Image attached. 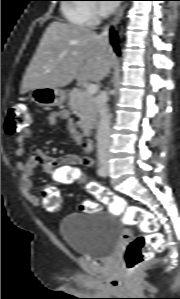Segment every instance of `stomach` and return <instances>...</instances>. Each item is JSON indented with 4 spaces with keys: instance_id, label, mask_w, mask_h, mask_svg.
<instances>
[{
    "instance_id": "1",
    "label": "stomach",
    "mask_w": 180,
    "mask_h": 299,
    "mask_svg": "<svg viewBox=\"0 0 180 299\" xmlns=\"http://www.w3.org/2000/svg\"><path fill=\"white\" fill-rule=\"evenodd\" d=\"M32 100L43 107L58 106L65 102L66 93L58 88H36L32 91Z\"/></svg>"
}]
</instances>
